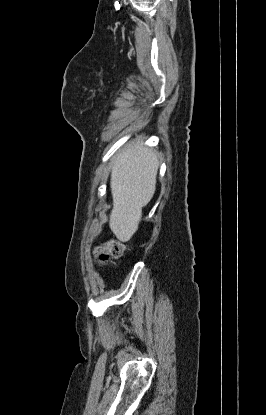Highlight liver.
Returning <instances> with one entry per match:
<instances>
[{
	"instance_id": "1",
	"label": "liver",
	"mask_w": 266,
	"mask_h": 415,
	"mask_svg": "<svg viewBox=\"0 0 266 415\" xmlns=\"http://www.w3.org/2000/svg\"><path fill=\"white\" fill-rule=\"evenodd\" d=\"M159 165L160 154L142 147V143L129 144L115 156L110 180L113 209L109 226L122 242L129 241L138 230L142 208L156 190Z\"/></svg>"
}]
</instances>
